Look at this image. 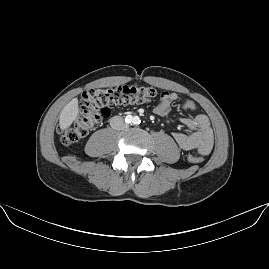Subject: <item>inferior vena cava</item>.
I'll return each mask as SVG.
<instances>
[{
    "label": "inferior vena cava",
    "mask_w": 269,
    "mask_h": 269,
    "mask_svg": "<svg viewBox=\"0 0 269 269\" xmlns=\"http://www.w3.org/2000/svg\"><path fill=\"white\" fill-rule=\"evenodd\" d=\"M110 125L114 130H125L128 128V124L124 122L121 116H114L110 119Z\"/></svg>",
    "instance_id": "602c4592"
}]
</instances>
